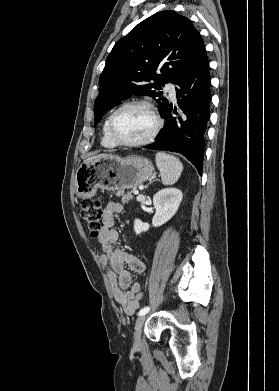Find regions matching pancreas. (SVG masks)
<instances>
[{
	"label": "pancreas",
	"mask_w": 279,
	"mask_h": 391,
	"mask_svg": "<svg viewBox=\"0 0 279 391\" xmlns=\"http://www.w3.org/2000/svg\"><path fill=\"white\" fill-rule=\"evenodd\" d=\"M116 196H122V202L127 203L129 200L133 199L132 192L124 193V191H117Z\"/></svg>",
	"instance_id": "cf45deb5"
}]
</instances>
